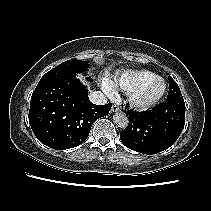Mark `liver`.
I'll return each mask as SVG.
<instances>
[{
    "label": "liver",
    "instance_id": "obj_1",
    "mask_svg": "<svg viewBox=\"0 0 211 211\" xmlns=\"http://www.w3.org/2000/svg\"><path fill=\"white\" fill-rule=\"evenodd\" d=\"M78 78L81 80L83 84H85L88 88L90 87V84L85 80V78L82 75H78Z\"/></svg>",
    "mask_w": 211,
    "mask_h": 211
}]
</instances>
